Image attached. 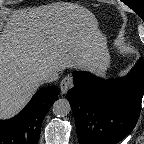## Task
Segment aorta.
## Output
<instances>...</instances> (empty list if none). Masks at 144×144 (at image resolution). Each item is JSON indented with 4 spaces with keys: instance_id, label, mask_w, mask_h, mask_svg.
I'll list each match as a JSON object with an SVG mask.
<instances>
[{
    "instance_id": "1",
    "label": "aorta",
    "mask_w": 144,
    "mask_h": 144,
    "mask_svg": "<svg viewBox=\"0 0 144 144\" xmlns=\"http://www.w3.org/2000/svg\"><path fill=\"white\" fill-rule=\"evenodd\" d=\"M71 111V105L67 99H58L53 104V113L57 117H65Z\"/></svg>"
}]
</instances>
